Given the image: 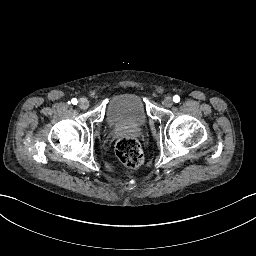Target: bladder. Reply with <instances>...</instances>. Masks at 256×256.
<instances>
[{"label": "bladder", "mask_w": 256, "mask_h": 256, "mask_svg": "<svg viewBox=\"0 0 256 256\" xmlns=\"http://www.w3.org/2000/svg\"><path fill=\"white\" fill-rule=\"evenodd\" d=\"M109 120L115 125L136 128L148 121V115L139 95L125 91L111 100Z\"/></svg>", "instance_id": "bladder-1"}]
</instances>
